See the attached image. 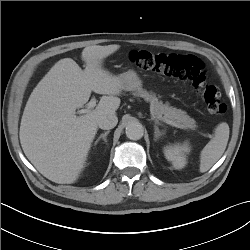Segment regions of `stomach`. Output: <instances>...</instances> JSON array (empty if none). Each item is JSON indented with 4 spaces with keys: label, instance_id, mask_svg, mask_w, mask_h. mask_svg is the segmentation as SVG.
I'll use <instances>...</instances> for the list:
<instances>
[{
    "label": "stomach",
    "instance_id": "stomach-1",
    "mask_svg": "<svg viewBox=\"0 0 250 250\" xmlns=\"http://www.w3.org/2000/svg\"><path fill=\"white\" fill-rule=\"evenodd\" d=\"M118 77L121 79L124 91H136L142 88V81L134 70H129Z\"/></svg>",
    "mask_w": 250,
    "mask_h": 250
}]
</instances>
